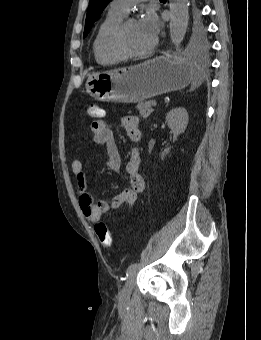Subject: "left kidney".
<instances>
[{
	"label": "left kidney",
	"instance_id": "1",
	"mask_svg": "<svg viewBox=\"0 0 261 340\" xmlns=\"http://www.w3.org/2000/svg\"><path fill=\"white\" fill-rule=\"evenodd\" d=\"M166 122L168 127L174 134L173 142H175L178 136L183 133L188 124V113L185 108L179 107L172 109L166 115ZM171 147L164 149L161 154V158L163 159L167 154H169Z\"/></svg>",
	"mask_w": 261,
	"mask_h": 340
}]
</instances>
